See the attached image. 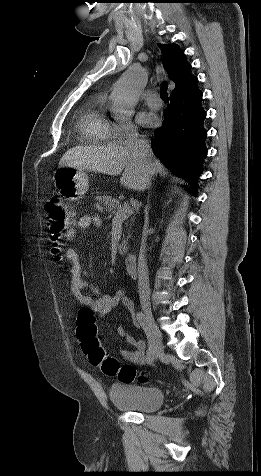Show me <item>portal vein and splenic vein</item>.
<instances>
[{
  "mask_svg": "<svg viewBox=\"0 0 261 476\" xmlns=\"http://www.w3.org/2000/svg\"><path fill=\"white\" fill-rule=\"evenodd\" d=\"M133 214V210L130 205L124 204L123 208L118 210L113 218V221H123Z\"/></svg>",
  "mask_w": 261,
  "mask_h": 476,
  "instance_id": "18ae733b",
  "label": "portal vein and splenic vein"
}]
</instances>
